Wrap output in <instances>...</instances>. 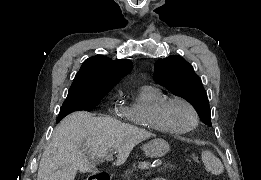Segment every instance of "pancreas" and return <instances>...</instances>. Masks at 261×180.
<instances>
[{
    "label": "pancreas",
    "mask_w": 261,
    "mask_h": 180,
    "mask_svg": "<svg viewBox=\"0 0 261 180\" xmlns=\"http://www.w3.org/2000/svg\"><path fill=\"white\" fill-rule=\"evenodd\" d=\"M142 164H147V159H133V163L128 166V169H125V171L121 172V175H123V178H128V176H132V178H140L141 172L137 169H140ZM177 165V162H173V159H160L159 166L158 163H155V169L173 170L174 167H177ZM135 170H137V173Z\"/></svg>",
    "instance_id": "cf45deb5"
}]
</instances>
